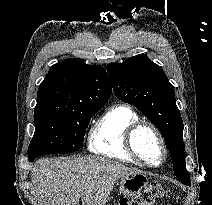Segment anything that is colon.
Wrapping results in <instances>:
<instances>
[{"label": "colon", "mask_w": 212, "mask_h": 205, "mask_svg": "<svg viewBox=\"0 0 212 205\" xmlns=\"http://www.w3.org/2000/svg\"><path fill=\"white\" fill-rule=\"evenodd\" d=\"M169 192L156 182L142 188L134 197L124 198L117 205H153L157 199L167 197Z\"/></svg>", "instance_id": "5ec220e1"}]
</instances>
